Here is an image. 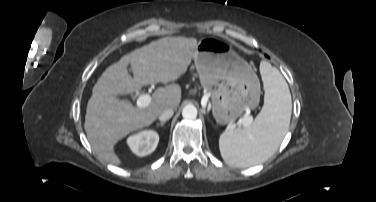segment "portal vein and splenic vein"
Returning <instances> with one entry per match:
<instances>
[{
    "label": "portal vein and splenic vein",
    "instance_id": "1",
    "mask_svg": "<svg viewBox=\"0 0 376 202\" xmlns=\"http://www.w3.org/2000/svg\"><path fill=\"white\" fill-rule=\"evenodd\" d=\"M152 101V97L149 94H142L137 99L138 106H147ZM251 118H243L242 124L247 127L251 123Z\"/></svg>",
    "mask_w": 376,
    "mask_h": 202
}]
</instances>
